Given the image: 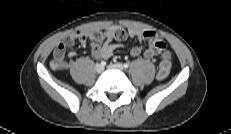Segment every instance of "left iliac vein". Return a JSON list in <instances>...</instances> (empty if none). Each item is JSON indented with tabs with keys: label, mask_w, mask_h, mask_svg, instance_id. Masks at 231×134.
Masks as SVG:
<instances>
[{
	"label": "left iliac vein",
	"mask_w": 231,
	"mask_h": 134,
	"mask_svg": "<svg viewBox=\"0 0 231 134\" xmlns=\"http://www.w3.org/2000/svg\"><path fill=\"white\" fill-rule=\"evenodd\" d=\"M109 69H116V70H120L123 71L124 67L121 63H115V64H110L108 65Z\"/></svg>",
	"instance_id": "left-iliac-vein-1"
}]
</instances>
